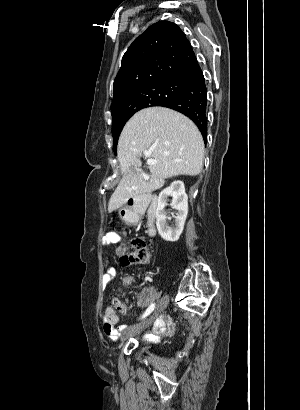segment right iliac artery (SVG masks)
I'll return each mask as SVG.
<instances>
[{"label": "right iliac artery", "mask_w": 300, "mask_h": 410, "mask_svg": "<svg viewBox=\"0 0 300 410\" xmlns=\"http://www.w3.org/2000/svg\"><path fill=\"white\" fill-rule=\"evenodd\" d=\"M155 308V304H151L147 310L145 311V313L142 315L141 319L147 317Z\"/></svg>", "instance_id": "right-iliac-artery-1"}]
</instances>
